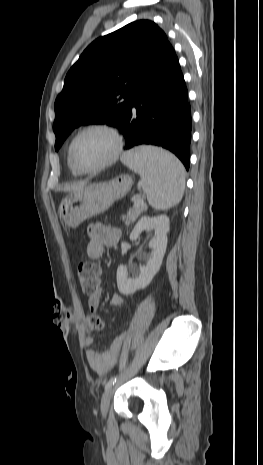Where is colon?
I'll return each instance as SVG.
<instances>
[{"mask_svg":"<svg viewBox=\"0 0 263 465\" xmlns=\"http://www.w3.org/2000/svg\"><path fill=\"white\" fill-rule=\"evenodd\" d=\"M77 276L81 289L86 295L91 296L98 291L101 282V269L97 264L88 261L80 263ZM87 326L95 331H101L106 327L103 320L98 315L93 314L87 317Z\"/></svg>","mask_w":263,"mask_h":465,"instance_id":"5ec220e1","label":"colon"}]
</instances>
